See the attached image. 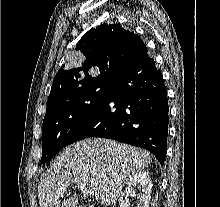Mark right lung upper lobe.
<instances>
[{
  "instance_id": "obj_1",
  "label": "right lung upper lobe",
  "mask_w": 220,
  "mask_h": 207,
  "mask_svg": "<svg viewBox=\"0 0 220 207\" xmlns=\"http://www.w3.org/2000/svg\"><path fill=\"white\" fill-rule=\"evenodd\" d=\"M76 50L85 58L83 65L71 69L62 66L54 77L48 103L84 86L109 83L147 53L140 37L119 24H102L90 29L77 43ZM93 67L98 69V75L92 78L88 71Z\"/></svg>"
}]
</instances>
